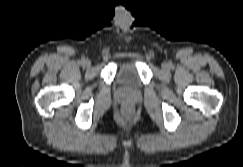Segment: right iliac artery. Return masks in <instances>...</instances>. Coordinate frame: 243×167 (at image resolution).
Segmentation results:
<instances>
[{"label": "right iliac artery", "instance_id": "obj_1", "mask_svg": "<svg viewBox=\"0 0 243 167\" xmlns=\"http://www.w3.org/2000/svg\"><path fill=\"white\" fill-rule=\"evenodd\" d=\"M83 62H84V60L82 59L81 63H83Z\"/></svg>", "mask_w": 243, "mask_h": 167}]
</instances>
